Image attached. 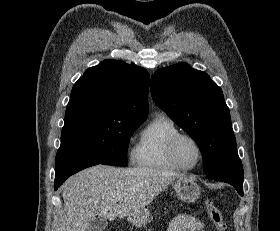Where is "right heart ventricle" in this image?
<instances>
[{"label":"right heart ventricle","instance_id":"right-heart-ventricle-1","mask_svg":"<svg viewBox=\"0 0 280 231\" xmlns=\"http://www.w3.org/2000/svg\"><path fill=\"white\" fill-rule=\"evenodd\" d=\"M180 132L176 122L165 114H157L141 130L134 149L136 165L168 171L178 170L167 155L170 139Z\"/></svg>","mask_w":280,"mask_h":231}]
</instances>
